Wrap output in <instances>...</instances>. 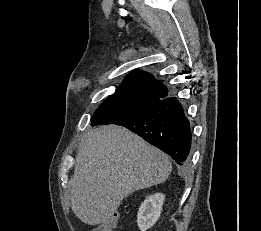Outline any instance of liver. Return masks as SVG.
Here are the masks:
<instances>
[{
  "label": "liver",
  "instance_id": "1",
  "mask_svg": "<svg viewBox=\"0 0 261 231\" xmlns=\"http://www.w3.org/2000/svg\"><path fill=\"white\" fill-rule=\"evenodd\" d=\"M171 171L165 153L126 128H95L76 156L69 182L72 211L85 224L104 223L125 197L165 182Z\"/></svg>",
  "mask_w": 261,
  "mask_h": 231
}]
</instances>
